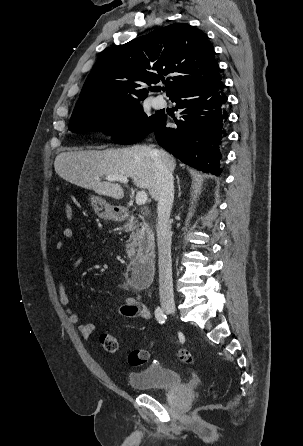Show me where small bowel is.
<instances>
[{
	"label": "small bowel",
	"mask_w": 303,
	"mask_h": 446,
	"mask_svg": "<svg viewBox=\"0 0 303 446\" xmlns=\"http://www.w3.org/2000/svg\"><path fill=\"white\" fill-rule=\"evenodd\" d=\"M63 238L66 241H71L75 238V232L71 228H65L63 230ZM65 247V243L59 240L55 243V248L57 250H62ZM86 262V258L81 256L77 258L74 262L68 265L71 270L79 269ZM127 286L132 290V295L127 297L125 301L116 309L115 315L120 318H142L149 320L152 317L151 311L146 307V305L141 301L140 291L131 287L129 284ZM59 301L60 304L65 309L67 319L71 324H76L80 336L88 340L92 337L94 331L96 330L97 324L94 322L79 323L78 315L73 311L70 306V299L65 289L63 279L60 280L58 286Z\"/></svg>",
	"instance_id": "1"
}]
</instances>
